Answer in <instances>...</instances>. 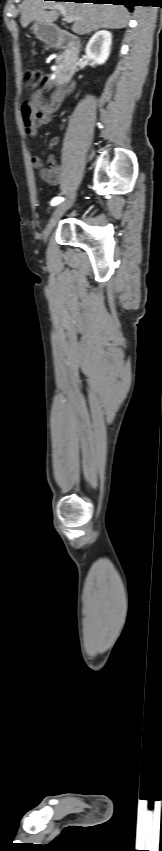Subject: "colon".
<instances>
[{"label":"colon","instance_id":"5ec220e1","mask_svg":"<svg viewBox=\"0 0 162 851\" xmlns=\"http://www.w3.org/2000/svg\"><path fill=\"white\" fill-rule=\"evenodd\" d=\"M23 80L28 89H34L43 82V75L37 69H27L23 74Z\"/></svg>","mask_w":162,"mask_h":851}]
</instances>
